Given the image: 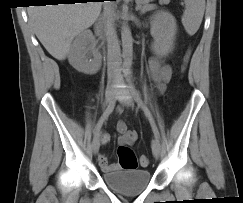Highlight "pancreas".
Segmentation results:
<instances>
[{
    "instance_id": "cf45deb5",
    "label": "pancreas",
    "mask_w": 243,
    "mask_h": 203,
    "mask_svg": "<svg viewBox=\"0 0 243 203\" xmlns=\"http://www.w3.org/2000/svg\"><path fill=\"white\" fill-rule=\"evenodd\" d=\"M152 0H136V2L141 5V9L143 12L151 10L153 7L149 5V2ZM170 0H162L163 4H168Z\"/></svg>"
}]
</instances>
